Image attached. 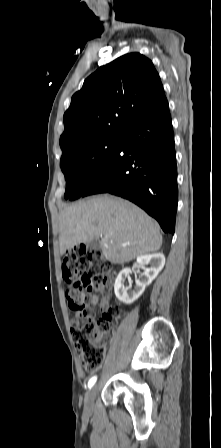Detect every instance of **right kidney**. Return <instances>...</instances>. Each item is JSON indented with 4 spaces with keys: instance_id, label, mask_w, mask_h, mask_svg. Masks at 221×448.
<instances>
[{
    "instance_id": "ca27d5eb",
    "label": "right kidney",
    "mask_w": 221,
    "mask_h": 448,
    "mask_svg": "<svg viewBox=\"0 0 221 448\" xmlns=\"http://www.w3.org/2000/svg\"><path fill=\"white\" fill-rule=\"evenodd\" d=\"M136 261V265L132 269L124 268L120 271L114 284V292L117 299L127 305L137 300L145 288L157 277L164 267L165 256L163 253L141 255L137 257ZM146 265H150V267L146 268L145 278L136 280L135 288L128 292L129 288L125 285L126 278L129 277L135 268H144Z\"/></svg>"
}]
</instances>
